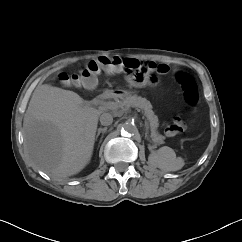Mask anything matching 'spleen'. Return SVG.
I'll return each instance as SVG.
<instances>
[{"label":"spleen","instance_id":"3e777b00","mask_svg":"<svg viewBox=\"0 0 242 242\" xmlns=\"http://www.w3.org/2000/svg\"><path fill=\"white\" fill-rule=\"evenodd\" d=\"M176 154L173 149L164 146L160 148L156 155V162L160 169L164 171H174L177 169Z\"/></svg>","mask_w":242,"mask_h":242}]
</instances>
